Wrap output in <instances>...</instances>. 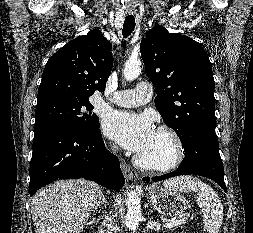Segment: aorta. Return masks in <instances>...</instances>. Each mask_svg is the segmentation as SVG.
<instances>
[{"mask_svg": "<svg viewBox=\"0 0 253 233\" xmlns=\"http://www.w3.org/2000/svg\"><path fill=\"white\" fill-rule=\"evenodd\" d=\"M141 73V62L130 60L125 64L123 75L127 81L135 80ZM141 201L135 191H130L127 198L126 225L131 231H135L141 219Z\"/></svg>", "mask_w": 253, "mask_h": 233, "instance_id": "aorta-1", "label": "aorta"}]
</instances>
